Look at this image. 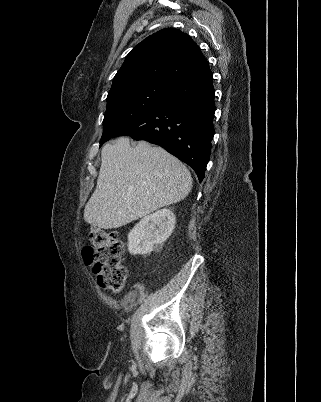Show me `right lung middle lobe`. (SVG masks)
<instances>
[{"label":"right lung middle lobe","instance_id":"dd1d6c3e","mask_svg":"<svg viewBox=\"0 0 321 402\" xmlns=\"http://www.w3.org/2000/svg\"><path fill=\"white\" fill-rule=\"evenodd\" d=\"M169 89L168 85L149 83L108 95L100 146L156 107Z\"/></svg>","mask_w":321,"mask_h":402}]
</instances>
